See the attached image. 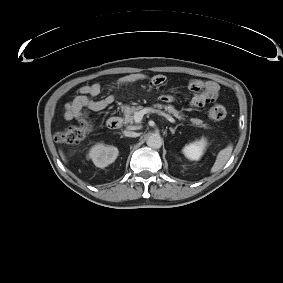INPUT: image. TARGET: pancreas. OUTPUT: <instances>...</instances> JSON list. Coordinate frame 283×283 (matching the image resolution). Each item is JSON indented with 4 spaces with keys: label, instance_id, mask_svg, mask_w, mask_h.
I'll return each mask as SVG.
<instances>
[{
    "label": "pancreas",
    "instance_id": "obj_1",
    "mask_svg": "<svg viewBox=\"0 0 283 283\" xmlns=\"http://www.w3.org/2000/svg\"><path fill=\"white\" fill-rule=\"evenodd\" d=\"M162 108H164L165 111H167L169 114H172L177 119H179V120L184 119L183 114L180 111L176 110L173 105L154 104L152 109H157V111H160ZM141 109H142V107H140V106H138V107H135V106L128 107L127 106L124 110L125 124H130V127H133L132 124H133L134 113L140 111ZM190 121L192 122L193 125L207 128V125L203 124V121L200 120V119L192 118V119H190Z\"/></svg>",
    "mask_w": 283,
    "mask_h": 283
}]
</instances>
